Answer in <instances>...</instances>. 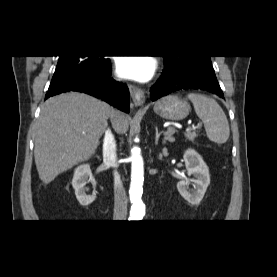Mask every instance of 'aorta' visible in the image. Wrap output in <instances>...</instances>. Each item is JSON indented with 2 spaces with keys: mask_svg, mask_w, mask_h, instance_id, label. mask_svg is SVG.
Segmentation results:
<instances>
[{
  "mask_svg": "<svg viewBox=\"0 0 277 277\" xmlns=\"http://www.w3.org/2000/svg\"><path fill=\"white\" fill-rule=\"evenodd\" d=\"M131 184L129 189L131 210L130 219L139 220L145 215V205L142 202L144 167L140 149L134 147L131 150Z\"/></svg>",
  "mask_w": 277,
  "mask_h": 277,
  "instance_id": "obj_1",
  "label": "aorta"
}]
</instances>
